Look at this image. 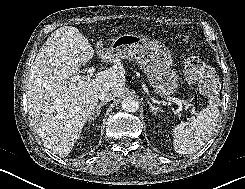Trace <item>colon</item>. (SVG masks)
I'll list each match as a JSON object with an SVG mask.
<instances>
[{
    "label": "colon",
    "mask_w": 245,
    "mask_h": 189,
    "mask_svg": "<svg viewBox=\"0 0 245 189\" xmlns=\"http://www.w3.org/2000/svg\"><path fill=\"white\" fill-rule=\"evenodd\" d=\"M185 41H189L185 37ZM185 76L189 82H198L206 103H215L220 82L213 68L199 57H189L185 62Z\"/></svg>",
    "instance_id": "colon-1"
}]
</instances>
